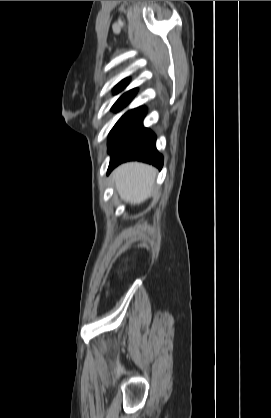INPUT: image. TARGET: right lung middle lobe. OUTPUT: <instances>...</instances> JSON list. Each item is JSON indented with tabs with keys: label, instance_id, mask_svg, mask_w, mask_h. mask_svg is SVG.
I'll return each instance as SVG.
<instances>
[{
	"label": "right lung middle lobe",
	"instance_id": "right-lung-middle-lobe-1",
	"mask_svg": "<svg viewBox=\"0 0 271 418\" xmlns=\"http://www.w3.org/2000/svg\"><path fill=\"white\" fill-rule=\"evenodd\" d=\"M130 101H117L113 107L112 110L119 111L123 107H125ZM146 113L145 108L139 107L134 110L128 111L122 118L115 124L113 129L111 130L109 134V146L110 144L124 131H126L130 126H132L134 123H136L138 120L144 117Z\"/></svg>",
	"mask_w": 271,
	"mask_h": 418
}]
</instances>
